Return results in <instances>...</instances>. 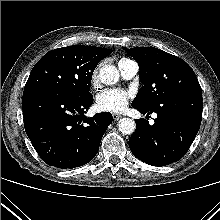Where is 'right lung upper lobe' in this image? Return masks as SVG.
Here are the masks:
<instances>
[{
	"label": "right lung upper lobe",
	"mask_w": 220,
	"mask_h": 220,
	"mask_svg": "<svg viewBox=\"0 0 220 220\" xmlns=\"http://www.w3.org/2000/svg\"><path fill=\"white\" fill-rule=\"evenodd\" d=\"M77 46L80 47V49H82L83 51L90 53L91 55H93L94 57L100 60L104 59L112 52L111 49H105L101 47L82 46V45H77Z\"/></svg>",
	"instance_id": "obj_1"
}]
</instances>
